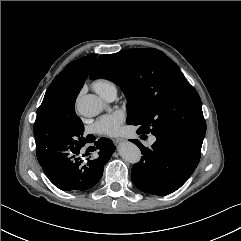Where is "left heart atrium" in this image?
<instances>
[{"label": "left heart atrium", "mask_w": 241, "mask_h": 241, "mask_svg": "<svg viewBox=\"0 0 241 241\" xmlns=\"http://www.w3.org/2000/svg\"><path fill=\"white\" fill-rule=\"evenodd\" d=\"M124 113L116 111L114 113L102 116L93 125L95 132L99 134L113 136L119 133L121 124L124 121Z\"/></svg>", "instance_id": "1"}]
</instances>
